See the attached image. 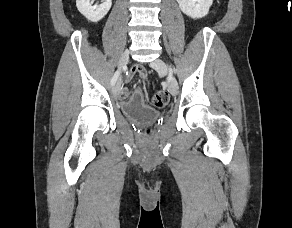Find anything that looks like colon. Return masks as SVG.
<instances>
[{
	"label": "colon",
	"mask_w": 292,
	"mask_h": 228,
	"mask_svg": "<svg viewBox=\"0 0 292 228\" xmlns=\"http://www.w3.org/2000/svg\"><path fill=\"white\" fill-rule=\"evenodd\" d=\"M152 104L157 108L165 107L169 102V96L165 91H157L151 97ZM147 133H150V129H147Z\"/></svg>",
	"instance_id": "obj_1"
}]
</instances>
